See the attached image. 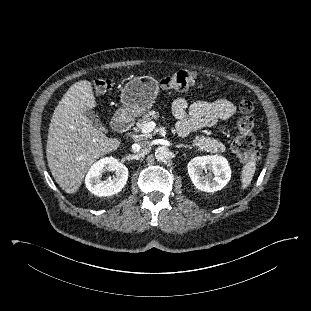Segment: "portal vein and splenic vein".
Wrapping results in <instances>:
<instances>
[{
    "label": "portal vein and splenic vein",
    "instance_id": "1",
    "mask_svg": "<svg viewBox=\"0 0 311 311\" xmlns=\"http://www.w3.org/2000/svg\"><path fill=\"white\" fill-rule=\"evenodd\" d=\"M155 127H156V123L153 121H150L143 126V128L141 129V132L144 134L150 133L155 129Z\"/></svg>",
    "mask_w": 311,
    "mask_h": 311
}]
</instances>
